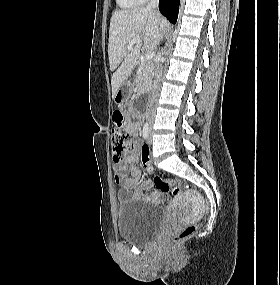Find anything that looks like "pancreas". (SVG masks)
Returning a JSON list of instances; mask_svg holds the SVG:
<instances>
[{
  "label": "pancreas",
  "mask_w": 280,
  "mask_h": 285,
  "mask_svg": "<svg viewBox=\"0 0 280 285\" xmlns=\"http://www.w3.org/2000/svg\"><path fill=\"white\" fill-rule=\"evenodd\" d=\"M154 64L148 61L140 63L135 78L137 93H146L152 85Z\"/></svg>",
  "instance_id": "pancreas-1"
}]
</instances>
